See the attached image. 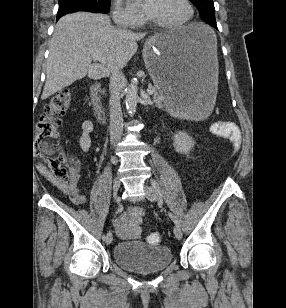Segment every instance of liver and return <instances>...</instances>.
<instances>
[{
  "label": "liver",
  "instance_id": "1",
  "mask_svg": "<svg viewBox=\"0 0 286 308\" xmlns=\"http://www.w3.org/2000/svg\"><path fill=\"white\" fill-rule=\"evenodd\" d=\"M144 37L145 33L113 27L107 15L77 12L63 16L50 40L41 99L86 75L98 80L112 74L115 68L122 69L136 53L137 41ZM91 50L102 53L106 64L92 63Z\"/></svg>",
  "mask_w": 286,
  "mask_h": 308
}]
</instances>
